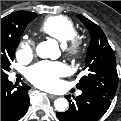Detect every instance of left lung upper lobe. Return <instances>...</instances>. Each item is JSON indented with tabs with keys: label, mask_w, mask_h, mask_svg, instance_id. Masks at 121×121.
<instances>
[{
	"label": "left lung upper lobe",
	"mask_w": 121,
	"mask_h": 121,
	"mask_svg": "<svg viewBox=\"0 0 121 121\" xmlns=\"http://www.w3.org/2000/svg\"><path fill=\"white\" fill-rule=\"evenodd\" d=\"M91 34L86 54L87 75L83 76L77 88L112 100L118 86L115 55L102 29L82 15L78 16Z\"/></svg>",
	"instance_id": "5c2ea615"
}]
</instances>
